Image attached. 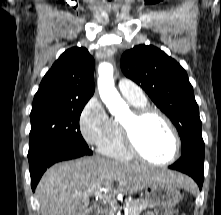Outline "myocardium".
Segmentation results:
<instances>
[{
  "mask_svg": "<svg viewBox=\"0 0 221 215\" xmlns=\"http://www.w3.org/2000/svg\"><path fill=\"white\" fill-rule=\"evenodd\" d=\"M152 115L159 117L165 123L174 140V149L171 157L162 162L154 161L147 157L139 149L135 140L136 125L148 116ZM120 127L124 146L133 157H136L140 160L156 166H168L177 160L181 149V140L179 134L172 121L159 109L150 106L135 107L129 113L128 120H123L120 122Z\"/></svg>",
  "mask_w": 221,
  "mask_h": 215,
  "instance_id": "myocardium-1",
  "label": "myocardium"
}]
</instances>
